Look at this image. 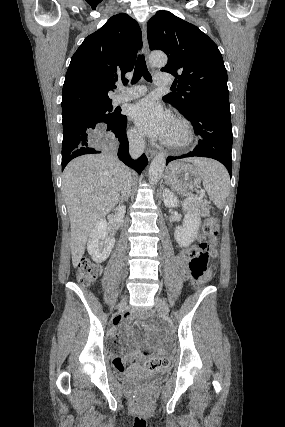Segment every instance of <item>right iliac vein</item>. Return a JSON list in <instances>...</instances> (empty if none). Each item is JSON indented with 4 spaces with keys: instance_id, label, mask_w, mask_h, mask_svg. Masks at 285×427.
<instances>
[{
    "instance_id": "1",
    "label": "right iliac vein",
    "mask_w": 285,
    "mask_h": 427,
    "mask_svg": "<svg viewBox=\"0 0 285 427\" xmlns=\"http://www.w3.org/2000/svg\"><path fill=\"white\" fill-rule=\"evenodd\" d=\"M126 305H127V298L124 297L118 305L119 310L123 311L126 308Z\"/></svg>"
}]
</instances>
